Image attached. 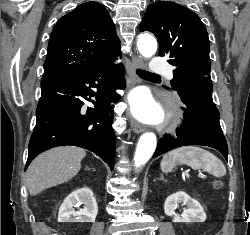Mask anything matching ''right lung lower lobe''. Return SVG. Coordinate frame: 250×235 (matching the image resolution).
I'll list each match as a JSON object with an SVG mask.
<instances>
[{
	"instance_id": "98d812e1",
	"label": "right lung lower lobe",
	"mask_w": 250,
	"mask_h": 235,
	"mask_svg": "<svg viewBox=\"0 0 250 235\" xmlns=\"http://www.w3.org/2000/svg\"><path fill=\"white\" fill-rule=\"evenodd\" d=\"M116 59L110 58L70 77L41 82L37 122L25 170L38 154L62 145L88 149L113 170L115 134L111 109L119 99L115 90L125 87L124 68L115 64ZM85 100L94 107H84Z\"/></svg>"
}]
</instances>
